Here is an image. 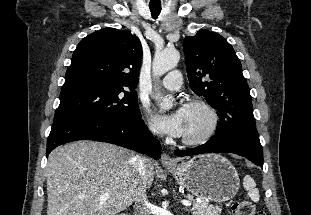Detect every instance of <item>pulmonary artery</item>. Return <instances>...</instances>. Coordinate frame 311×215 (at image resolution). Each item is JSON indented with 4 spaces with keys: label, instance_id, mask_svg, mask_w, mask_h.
Listing matches in <instances>:
<instances>
[{
    "label": "pulmonary artery",
    "instance_id": "obj_1",
    "mask_svg": "<svg viewBox=\"0 0 311 215\" xmlns=\"http://www.w3.org/2000/svg\"><path fill=\"white\" fill-rule=\"evenodd\" d=\"M161 85L168 90H179L182 86V75L178 70L169 72L161 81Z\"/></svg>",
    "mask_w": 311,
    "mask_h": 215
}]
</instances>
